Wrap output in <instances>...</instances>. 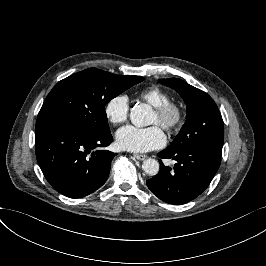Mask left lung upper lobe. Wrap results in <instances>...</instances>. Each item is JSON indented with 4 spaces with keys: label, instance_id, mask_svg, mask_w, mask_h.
Masks as SVG:
<instances>
[{
    "label": "left lung upper lobe",
    "instance_id": "left-lung-upper-lobe-1",
    "mask_svg": "<svg viewBox=\"0 0 266 266\" xmlns=\"http://www.w3.org/2000/svg\"><path fill=\"white\" fill-rule=\"evenodd\" d=\"M158 81L178 92L187 105V121L167 148L179 150L204 142L223 146V120L214 100L204 91L181 79L169 78Z\"/></svg>",
    "mask_w": 266,
    "mask_h": 266
}]
</instances>
